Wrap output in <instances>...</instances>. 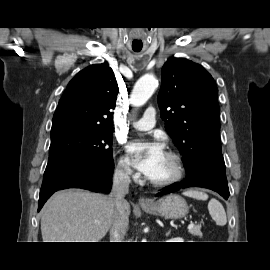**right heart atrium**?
<instances>
[{
    "label": "right heart atrium",
    "mask_w": 270,
    "mask_h": 270,
    "mask_svg": "<svg viewBox=\"0 0 270 270\" xmlns=\"http://www.w3.org/2000/svg\"><path fill=\"white\" fill-rule=\"evenodd\" d=\"M115 172L121 178L130 179L135 178L136 175L133 172L129 160L122 154H118L115 164Z\"/></svg>",
    "instance_id": "right-heart-atrium-1"
}]
</instances>
